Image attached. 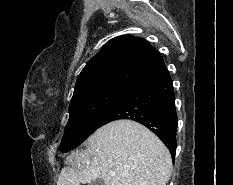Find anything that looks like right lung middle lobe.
Returning a JSON list of instances; mask_svg holds the SVG:
<instances>
[{
	"label": "right lung middle lobe",
	"mask_w": 233,
	"mask_h": 185,
	"mask_svg": "<svg viewBox=\"0 0 233 185\" xmlns=\"http://www.w3.org/2000/svg\"><path fill=\"white\" fill-rule=\"evenodd\" d=\"M129 89L108 87L71 99L70 117L59 150L67 152L80 145L99 128L102 120L129 93Z\"/></svg>",
	"instance_id": "obj_1"
}]
</instances>
